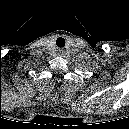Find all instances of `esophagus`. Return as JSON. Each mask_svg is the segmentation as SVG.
Segmentation results:
<instances>
[{
    "label": "esophagus",
    "instance_id": "esophagus-1",
    "mask_svg": "<svg viewBox=\"0 0 129 129\" xmlns=\"http://www.w3.org/2000/svg\"><path fill=\"white\" fill-rule=\"evenodd\" d=\"M63 51H64V50H60V52H62V53H63Z\"/></svg>",
    "mask_w": 129,
    "mask_h": 129
}]
</instances>
